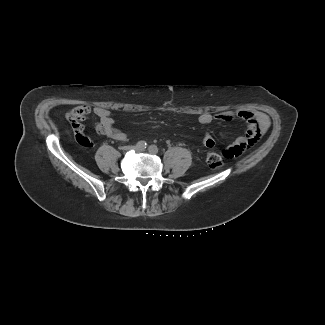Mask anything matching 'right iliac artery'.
<instances>
[{"label": "right iliac artery", "instance_id": "1", "mask_svg": "<svg viewBox=\"0 0 325 325\" xmlns=\"http://www.w3.org/2000/svg\"><path fill=\"white\" fill-rule=\"evenodd\" d=\"M147 146V143L145 141H139L137 144H136V147L140 148V149H145Z\"/></svg>", "mask_w": 325, "mask_h": 325}]
</instances>
